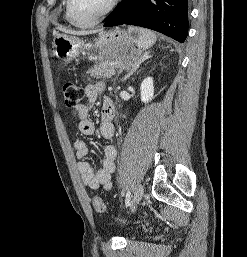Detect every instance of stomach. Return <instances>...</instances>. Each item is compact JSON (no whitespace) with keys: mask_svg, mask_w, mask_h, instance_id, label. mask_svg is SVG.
<instances>
[{"mask_svg":"<svg viewBox=\"0 0 247 257\" xmlns=\"http://www.w3.org/2000/svg\"><path fill=\"white\" fill-rule=\"evenodd\" d=\"M136 36V32L120 28L103 32L92 46L98 55L91 54L89 56L113 63L121 68L132 67L141 55V52L134 47ZM53 48L54 53L65 62H69L81 52L89 50L88 45L82 39L60 33L53 38Z\"/></svg>","mask_w":247,"mask_h":257,"instance_id":"1","label":"stomach"}]
</instances>
